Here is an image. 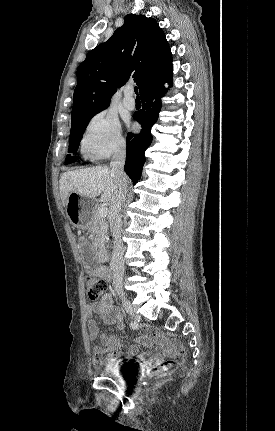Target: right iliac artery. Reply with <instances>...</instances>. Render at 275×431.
Masks as SVG:
<instances>
[{"label": "right iliac artery", "instance_id": "1", "mask_svg": "<svg viewBox=\"0 0 275 431\" xmlns=\"http://www.w3.org/2000/svg\"><path fill=\"white\" fill-rule=\"evenodd\" d=\"M130 327H131L132 329H136V328L138 327V323H137L136 321H132V322L130 323Z\"/></svg>", "mask_w": 275, "mask_h": 431}]
</instances>
